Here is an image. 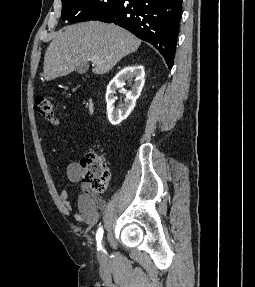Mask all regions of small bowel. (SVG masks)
Returning a JSON list of instances; mask_svg holds the SVG:
<instances>
[{
    "instance_id": "obj_1",
    "label": "small bowel",
    "mask_w": 255,
    "mask_h": 287,
    "mask_svg": "<svg viewBox=\"0 0 255 287\" xmlns=\"http://www.w3.org/2000/svg\"><path fill=\"white\" fill-rule=\"evenodd\" d=\"M66 176L71 183L81 184L83 179V169L77 162L70 163L66 168ZM69 192L63 189L59 192L58 198L61 204V209L65 215L71 211V204L68 200ZM104 206L102 197L92 194L81 186V192L77 201V212L74 217L76 221L91 226L96 223L99 217V211Z\"/></svg>"
}]
</instances>
